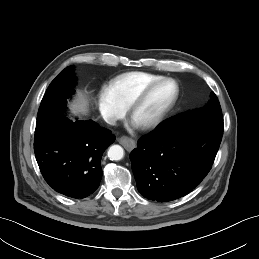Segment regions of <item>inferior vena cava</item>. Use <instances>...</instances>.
Listing matches in <instances>:
<instances>
[{
  "instance_id": "602c4592",
  "label": "inferior vena cava",
  "mask_w": 259,
  "mask_h": 259,
  "mask_svg": "<svg viewBox=\"0 0 259 259\" xmlns=\"http://www.w3.org/2000/svg\"><path fill=\"white\" fill-rule=\"evenodd\" d=\"M105 121L108 123V124H110V125H116V118H114V117H107L106 119H105Z\"/></svg>"
}]
</instances>
